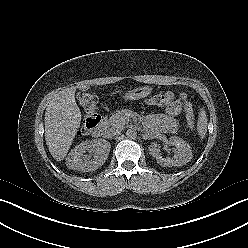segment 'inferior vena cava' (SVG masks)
I'll use <instances>...</instances> for the list:
<instances>
[{"label":"inferior vena cava","mask_w":248,"mask_h":248,"mask_svg":"<svg viewBox=\"0 0 248 248\" xmlns=\"http://www.w3.org/2000/svg\"><path fill=\"white\" fill-rule=\"evenodd\" d=\"M121 131H122L121 127H114L108 131V135L109 136H116V135H119L121 133Z\"/></svg>","instance_id":"1"}]
</instances>
